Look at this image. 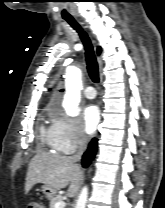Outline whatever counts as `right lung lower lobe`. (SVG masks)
<instances>
[{"instance_id":"1","label":"right lung lower lobe","mask_w":165,"mask_h":208,"mask_svg":"<svg viewBox=\"0 0 165 208\" xmlns=\"http://www.w3.org/2000/svg\"><path fill=\"white\" fill-rule=\"evenodd\" d=\"M97 150V139H92V141L88 145L87 151L84 153L82 158V165L83 167H88L91 163L92 159L94 158Z\"/></svg>"}]
</instances>
